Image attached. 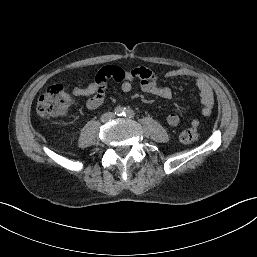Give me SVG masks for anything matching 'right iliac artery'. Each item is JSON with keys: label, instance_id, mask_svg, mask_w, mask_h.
Listing matches in <instances>:
<instances>
[{"label": "right iliac artery", "instance_id": "82829eb1", "mask_svg": "<svg viewBox=\"0 0 257 257\" xmlns=\"http://www.w3.org/2000/svg\"><path fill=\"white\" fill-rule=\"evenodd\" d=\"M115 114H117L118 116H122L124 114V108L117 107L115 110Z\"/></svg>", "mask_w": 257, "mask_h": 257}]
</instances>
